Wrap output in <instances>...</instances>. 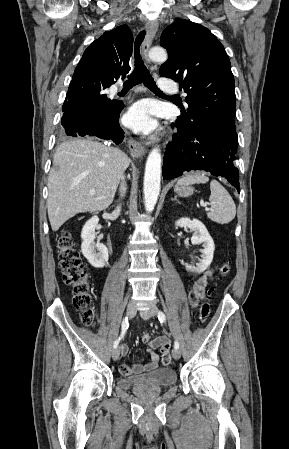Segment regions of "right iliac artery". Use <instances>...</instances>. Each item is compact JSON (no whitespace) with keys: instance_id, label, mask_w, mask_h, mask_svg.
<instances>
[{"instance_id":"right-iliac-artery-1","label":"right iliac artery","mask_w":289,"mask_h":449,"mask_svg":"<svg viewBox=\"0 0 289 449\" xmlns=\"http://www.w3.org/2000/svg\"><path fill=\"white\" fill-rule=\"evenodd\" d=\"M128 327H129L128 318L125 317L122 321L121 334H120L119 338L114 341V344H113L114 349L118 347V344H119L120 340L124 337Z\"/></svg>"}]
</instances>
